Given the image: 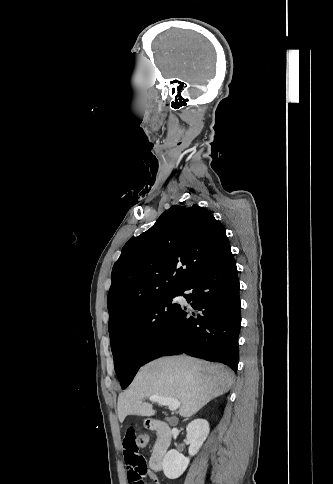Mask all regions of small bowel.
Returning a JSON list of instances; mask_svg holds the SVG:
<instances>
[{"label": "small bowel", "mask_w": 333, "mask_h": 484, "mask_svg": "<svg viewBox=\"0 0 333 484\" xmlns=\"http://www.w3.org/2000/svg\"><path fill=\"white\" fill-rule=\"evenodd\" d=\"M123 453L129 484H144V477H148L159 484L156 475L148 468L145 458L139 453L136 435L134 429L130 426L126 429L123 439Z\"/></svg>", "instance_id": "obj_1"}]
</instances>
